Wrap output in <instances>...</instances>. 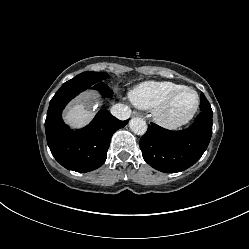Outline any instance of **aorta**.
<instances>
[{
    "mask_svg": "<svg viewBox=\"0 0 249 249\" xmlns=\"http://www.w3.org/2000/svg\"><path fill=\"white\" fill-rule=\"evenodd\" d=\"M130 129L137 135H143L147 131L146 121L142 118H132L129 122Z\"/></svg>",
    "mask_w": 249,
    "mask_h": 249,
    "instance_id": "obj_1",
    "label": "aorta"
}]
</instances>
